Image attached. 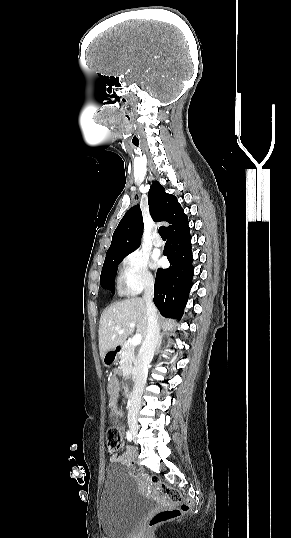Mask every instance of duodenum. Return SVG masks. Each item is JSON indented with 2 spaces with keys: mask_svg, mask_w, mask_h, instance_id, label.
Instances as JSON below:
<instances>
[{
  "mask_svg": "<svg viewBox=\"0 0 291 538\" xmlns=\"http://www.w3.org/2000/svg\"><path fill=\"white\" fill-rule=\"evenodd\" d=\"M122 351V348L118 347L115 350L109 351L108 354L112 356L113 358H116ZM123 377L125 378V381L123 383V386L125 388L124 395L128 398H131L135 394V387L133 382V377H131V374L129 372H125L123 374Z\"/></svg>",
  "mask_w": 291,
  "mask_h": 538,
  "instance_id": "obj_1",
  "label": "duodenum"
}]
</instances>
